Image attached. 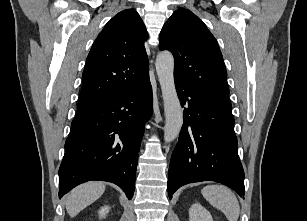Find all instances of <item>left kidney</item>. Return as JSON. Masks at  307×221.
Instances as JSON below:
<instances>
[{"label":"left kidney","instance_id":"obj_1","mask_svg":"<svg viewBox=\"0 0 307 221\" xmlns=\"http://www.w3.org/2000/svg\"><path fill=\"white\" fill-rule=\"evenodd\" d=\"M189 221H213V218L206 208L199 203H195L189 210Z\"/></svg>","mask_w":307,"mask_h":221}]
</instances>
